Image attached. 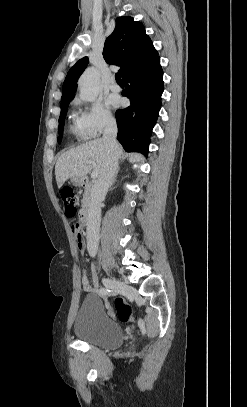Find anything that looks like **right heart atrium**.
<instances>
[{"label": "right heart atrium", "mask_w": 247, "mask_h": 407, "mask_svg": "<svg viewBox=\"0 0 247 407\" xmlns=\"http://www.w3.org/2000/svg\"><path fill=\"white\" fill-rule=\"evenodd\" d=\"M81 105L80 100H76ZM76 124L84 138H95L103 131L114 125V117L110 111L98 100H94L84 108H79L75 115Z\"/></svg>", "instance_id": "d8ad5b80"}]
</instances>
